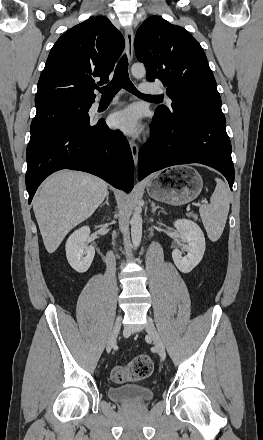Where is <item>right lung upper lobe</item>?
<instances>
[{
	"label": "right lung upper lobe",
	"instance_id": "1",
	"mask_svg": "<svg viewBox=\"0 0 263 440\" xmlns=\"http://www.w3.org/2000/svg\"><path fill=\"white\" fill-rule=\"evenodd\" d=\"M125 42L108 18L88 19L64 33L52 47L38 81L36 108L59 102L93 103L95 78L108 82Z\"/></svg>",
	"mask_w": 263,
	"mask_h": 440
}]
</instances>
